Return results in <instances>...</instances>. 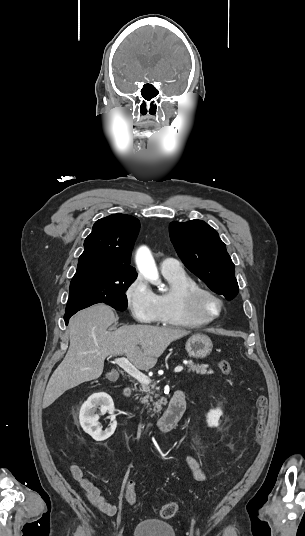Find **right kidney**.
<instances>
[{
  "mask_svg": "<svg viewBox=\"0 0 305 536\" xmlns=\"http://www.w3.org/2000/svg\"><path fill=\"white\" fill-rule=\"evenodd\" d=\"M97 406H101L99 410H101L102 414H105V412L111 414L109 418L112 424H110V428L105 430V432H102V428L99 426V414H95ZM114 412L113 400L108 394H103V392H101V394H93V396H90L89 400L83 404L80 410V424L84 432L89 434V436H92L93 440H96V442H103V440L110 438L116 430L117 422Z\"/></svg>",
  "mask_w": 305,
  "mask_h": 536,
  "instance_id": "ca27d5eb",
  "label": "right kidney"
}]
</instances>
